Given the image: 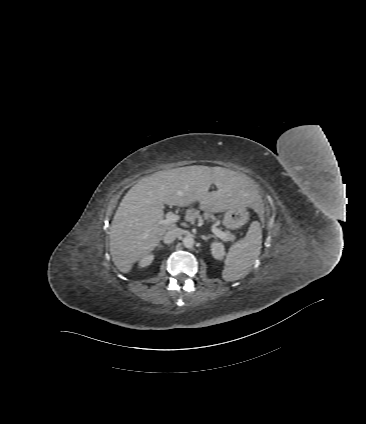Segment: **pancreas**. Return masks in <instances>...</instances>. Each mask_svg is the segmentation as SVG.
<instances>
[{
	"mask_svg": "<svg viewBox=\"0 0 366 424\" xmlns=\"http://www.w3.org/2000/svg\"><path fill=\"white\" fill-rule=\"evenodd\" d=\"M196 216L195 215H191V219H194ZM210 217V215H208V214H206L205 215V218L207 219V218H209ZM226 235H227V240H234L235 239V237L233 236V235H230L229 233H225Z\"/></svg>",
	"mask_w": 366,
	"mask_h": 424,
	"instance_id": "1",
	"label": "pancreas"
}]
</instances>
